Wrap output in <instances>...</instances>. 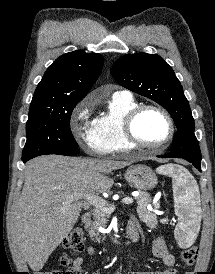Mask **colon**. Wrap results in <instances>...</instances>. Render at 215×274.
I'll list each match as a JSON object with an SVG mask.
<instances>
[{
	"instance_id": "1",
	"label": "colon",
	"mask_w": 215,
	"mask_h": 274,
	"mask_svg": "<svg viewBox=\"0 0 215 274\" xmlns=\"http://www.w3.org/2000/svg\"><path fill=\"white\" fill-rule=\"evenodd\" d=\"M63 246L65 249L72 252L82 251L84 248L83 231L80 228H74L66 236ZM198 256V249L195 246L189 247L182 251L181 258L185 266L191 267L196 262ZM63 263H66V258L63 259ZM40 274H71L69 270H53L48 272H42Z\"/></svg>"
}]
</instances>
